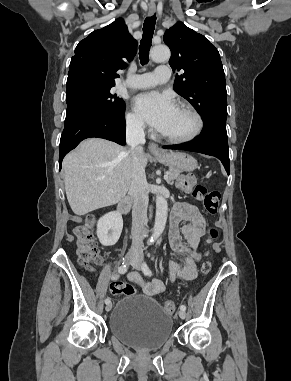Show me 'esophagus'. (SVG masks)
I'll return each instance as SVG.
<instances>
[{"label":"esophagus","mask_w":291,"mask_h":381,"mask_svg":"<svg viewBox=\"0 0 291 381\" xmlns=\"http://www.w3.org/2000/svg\"><path fill=\"white\" fill-rule=\"evenodd\" d=\"M156 11V6L151 3L149 4L148 6V13L150 15H153ZM149 151L152 153V154H163L164 152L160 149V147L154 143V142H150L149 143Z\"/></svg>","instance_id":"34e87169"}]
</instances>
